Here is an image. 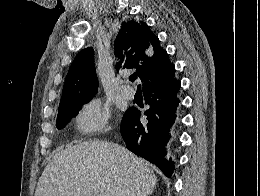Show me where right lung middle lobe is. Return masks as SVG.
<instances>
[{
	"mask_svg": "<svg viewBox=\"0 0 260 196\" xmlns=\"http://www.w3.org/2000/svg\"><path fill=\"white\" fill-rule=\"evenodd\" d=\"M93 96L94 95L78 99L64 109L58 110L56 123L58 129L64 128L66 124L77 114V111L81 108V106L89 102Z\"/></svg>",
	"mask_w": 260,
	"mask_h": 196,
	"instance_id": "right-lung-middle-lobe-1",
	"label": "right lung middle lobe"
}]
</instances>
